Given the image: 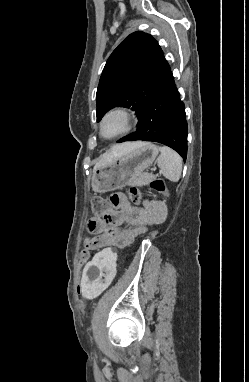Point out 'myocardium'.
I'll return each mask as SVG.
<instances>
[{
    "label": "myocardium",
    "mask_w": 249,
    "mask_h": 382,
    "mask_svg": "<svg viewBox=\"0 0 249 382\" xmlns=\"http://www.w3.org/2000/svg\"><path fill=\"white\" fill-rule=\"evenodd\" d=\"M110 122H115L118 128L115 132L107 134L105 130ZM131 127L132 116L130 112L123 107H114L102 116L99 122V134L103 139L112 140L128 133Z\"/></svg>",
    "instance_id": "obj_1"
}]
</instances>
